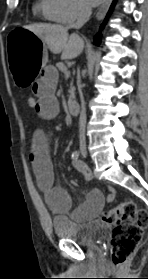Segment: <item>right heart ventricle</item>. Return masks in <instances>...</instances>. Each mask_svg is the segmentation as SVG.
I'll return each mask as SVG.
<instances>
[{
    "mask_svg": "<svg viewBox=\"0 0 148 279\" xmlns=\"http://www.w3.org/2000/svg\"><path fill=\"white\" fill-rule=\"evenodd\" d=\"M34 8L40 12L45 19L49 21H58L52 11L51 0H38Z\"/></svg>",
    "mask_w": 148,
    "mask_h": 279,
    "instance_id": "1",
    "label": "right heart ventricle"
}]
</instances>
